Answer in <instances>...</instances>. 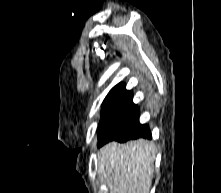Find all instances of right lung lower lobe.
I'll list each match as a JSON object with an SVG mask.
<instances>
[{
  "label": "right lung lower lobe",
  "instance_id": "right-lung-lower-lobe-1",
  "mask_svg": "<svg viewBox=\"0 0 221 193\" xmlns=\"http://www.w3.org/2000/svg\"><path fill=\"white\" fill-rule=\"evenodd\" d=\"M151 138V132L148 128V125H140L137 128L129 131L128 133H126L125 135H123L122 137H119L117 139H115L118 142H125L129 139H137V138Z\"/></svg>",
  "mask_w": 221,
  "mask_h": 193
}]
</instances>
